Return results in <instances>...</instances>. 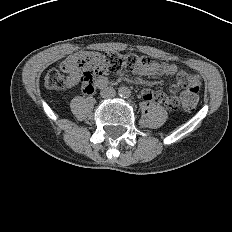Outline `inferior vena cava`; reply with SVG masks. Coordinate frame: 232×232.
Segmentation results:
<instances>
[{"label": "inferior vena cava", "mask_w": 232, "mask_h": 232, "mask_svg": "<svg viewBox=\"0 0 232 232\" xmlns=\"http://www.w3.org/2000/svg\"><path fill=\"white\" fill-rule=\"evenodd\" d=\"M116 95V91L112 87H106L101 90V96L103 98H113Z\"/></svg>", "instance_id": "602c4592"}]
</instances>
